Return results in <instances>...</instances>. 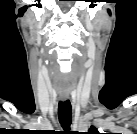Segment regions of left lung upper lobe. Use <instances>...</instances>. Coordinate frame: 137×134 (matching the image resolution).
I'll use <instances>...</instances> for the list:
<instances>
[{"mask_svg":"<svg viewBox=\"0 0 137 134\" xmlns=\"http://www.w3.org/2000/svg\"><path fill=\"white\" fill-rule=\"evenodd\" d=\"M88 133L89 134H98L99 132L94 126H91Z\"/></svg>","mask_w":137,"mask_h":134,"instance_id":"5c2ea615","label":"left lung upper lobe"}]
</instances>
